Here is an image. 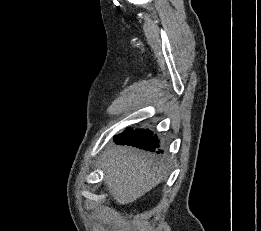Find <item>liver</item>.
Here are the masks:
<instances>
[{
	"instance_id": "1",
	"label": "liver",
	"mask_w": 261,
	"mask_h": 231,
	"mask_svg": "<svg viewBox=\"0 0 261 231\" xmlns=\"http://www.w3.org/2000/svg\"><path fill=\"white\" fill-rule=\"evenodd\" d=\"M102 168L110 195L122 205L135 201L160 182L152 161L127 147L108 151Z\"/></svg>"
}]
</instances>
